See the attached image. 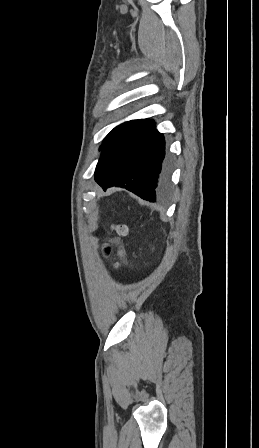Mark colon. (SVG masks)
<instances>
[{"label": "colon", "instance_id": "obj_1", "mask_svg": "<svg viewBox=\"0 0 259 448\" xmlns=\"http://www.w3.org/2000/svg\"><path fill=\"white\" fill-rule=\"evenodd\" d=\"M113 230L116 232V234L120 237H124L127 234V227L126 225L123 224H117L113 226ZM103 252L105 255H108L110 252V248L109 246H105L103 249ZM115 267H117L115 265Z\"/></svg>", "mask_w": 259, "mask_h": 448}]
</instances>
